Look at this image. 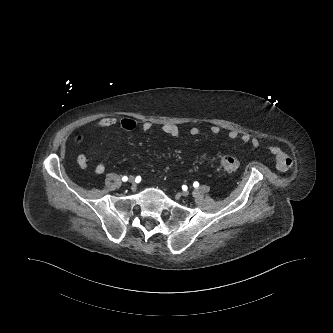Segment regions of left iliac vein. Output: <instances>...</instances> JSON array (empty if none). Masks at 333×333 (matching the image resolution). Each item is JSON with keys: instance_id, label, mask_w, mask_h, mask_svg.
<instances>
[{"instance_id": "obj_1", "label": "left iliac vein", "mask_w": 333, "mask_h": 333, "mask_svg": "<svg viewBox=\"0 0 333 333\" xmlns=\"http://www.w3.org/2000/svg\"><path fill=\"white\" fill-rule=\"evenodd\" d=\"M181 195L184 196V197H186V196L189 195V191L184 190V191L181 192Z\"/></svg>"}]
</instances>
